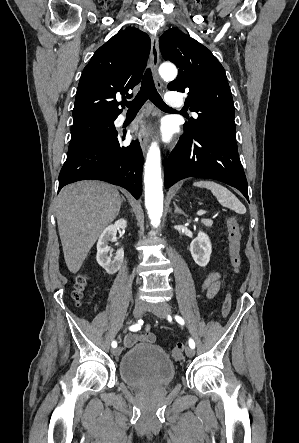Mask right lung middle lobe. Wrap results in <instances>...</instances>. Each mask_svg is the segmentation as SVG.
I'll return each mask as SVG.
<instances>
[{
  "instance_id": "1",
  "label": "right lung middle lobe",
  "mask_w": 299,
  "mask_h": 443,
  "mask_svg": "<svg viewBox=\"0 0 299 443\" xmlns=\"http://www.w3.org/2000/svg\"><path fill=\"white\" fill-rule=\"evenodd\" d=\"M115 117H94L74 123L71 130V143L68 149V157L77 153L89 144L109 138L116 133L114 126Z\"/></svg>"
}]
</instances>
